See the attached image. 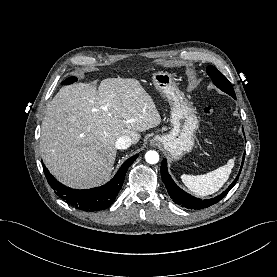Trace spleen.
<instances>
[{
	"mask_svg": "<svg viewBox=\"0 0 277 277\" xmlns=\"http://www.w3.org/2000/svg\"><path fill=\"white\" fill-rule=\"evenodd\" d=\"M234 167V158L230 159L226 165L203 175L181 176L185 186L199 197L208 196L217 192L228 180L232 168Z\"/></svg>",
	"mask_w": 277,
	"mask_h": 277,
	"instance_id": "1",
	"label": "spleen"
}]
</instances>
